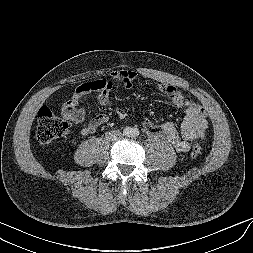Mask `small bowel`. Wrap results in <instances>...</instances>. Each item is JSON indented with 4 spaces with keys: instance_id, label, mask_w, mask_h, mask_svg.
Returning a JSON list of instances; mask_svg holds the SVG:
<instances>
[{
    "instance_id": "1",
    "label": "small bowel",
    "mask_w": 253,
    "mask_h": 253,
    "mask_svg": "<svg viewBox=\"0 0 253 253\" xmlns=\"http://www.w3.org/2000/svg\"><path fill=\"white\" fill-rule=\"evenodd\" d=\"M137 76L134 70H116L112 73V79L122 82L128 89L132 87ZM152 82L173 104L185 108V116L181 123L180 134L171 122L156 125L149 119H144L142 126L149 135L164 136L178 153H187L192 142L202 140L206 136L208 128L206 112L174 85L162 80H152ZM111 88V82L106 80H96L77 86L72 96L63 104L62 116L71 124L82 125L79 133L83 136L96 132L102 124L107 122L108 117L103 114L97 115L89 123L83 124L87 116V109L84 106L78 107V105L92 91L97 92L96 102L99 105L108 104Z\"/></svg>"
}]
</instances>
